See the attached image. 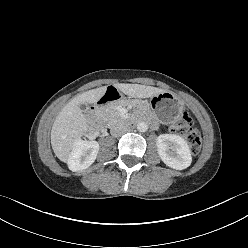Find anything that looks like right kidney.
<instances>
[{"instance_id": "obj_1", "label": "right kidney", "mask_w": 248, "mask_h": 248, "mask_svg": "<svg viewBox=\"0 0 248 248\" xmlns=\"http://www.w3.org/2000/svg\"><path fill=\"white\" fill-rule=\"evenodd\" d=\"M98 151V142L77 140L67 162L69 169L74 172L87 169L94 163Z\"/></svg>"}]
</instances>
